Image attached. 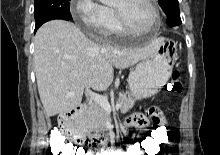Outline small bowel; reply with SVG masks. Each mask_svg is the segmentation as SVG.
<instances>
[{"mask_svg":"<svg viewBox=\"0 0 220 155\" xmlns=\"http://www.w3.org/2000/svg\"><path fill=\"white\" fill-rule=\"evenodd\" d=\"M156 105H151V107L148 109L149 113H154L155 114V119H160V117L164 120V123H167L166 120L164 119V117L162 116L161 112L156 109ZM126 124L132 127H135L137 129H145L148 125V119L146 116L142 115V114H138L135 115L133 117H130L126 120ZM168 124H167V128ZM169 135V134H167ZM145 139V138H143ZM108 140H104L103 136H92L91 140H87L86 144L87 145H108ZM165 145V144H163ZM162 145V146H163ZM129 146L125 149H118V148H112V149H108L106 151H104L101 155H132L131 152L128 151ZM161 149V147H160Z\"/></svg>","mask_w":220,"mask_h":155,"instance_id":"small-bowel-1","label":"small bowel"}]
</instances>
